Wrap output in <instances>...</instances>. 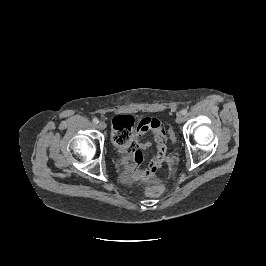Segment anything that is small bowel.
Listing matches in <instances>:
<instances>
[{
  "instance_id": "small-bowel-1",
  "label": "small bowel",
  "mask_w": 266,
  "mask_h": 266,
  "mask_svg": "<svg viewBox=\"0 0 266 266\" xmlns=\"http://www.w3.org/2000/svg\"><path fill=\"white\" fill-rule=\"evenodd\" d=\"M134 118L130 115H119L113 118L111 123V138L114 145L123 153H126L130 162L125 168V177L128 180H147L162 166L166 156L167 135L165 125L155 118L142 119L134 129ZM147 132L154 134L155 153L148 164L147 169H139L144 154L151 147L150 142L141 141V137Z\"/></svg>"
}]
</instances>
